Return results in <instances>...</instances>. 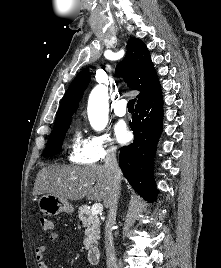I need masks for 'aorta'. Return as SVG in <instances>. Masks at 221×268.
Returning a JSON list of instances; mask_svg holds the SVG:
<instances>
[{
	"mask_svg": "<svg viewBox=\"0 0 221 268\" xmlns=\"http://www.w3.org/2000/svg\"><path fill=\"white\" fill-rule=\"evenodd\" d=\"M108 90L104 85H97L88 100V118L96 131H102L108 123Z\"/></svg>",
	"mask_w": 221,
	"mask_h": 268,
	"instance_id": "aorta-1",
	"label": "aorta"
}]
</instances>
